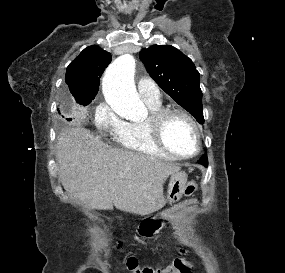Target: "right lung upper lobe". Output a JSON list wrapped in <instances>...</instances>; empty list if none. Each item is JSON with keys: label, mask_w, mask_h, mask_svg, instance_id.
<instances>
[{"label": "right lung upper lobe", "mask_w": 285, "mask_h": 273, "mask_svg": "<svg viewBox=\"0 0 285 273\" xmlns=\"http://www.w3.org/2000/svg\"><path fill=\"white\" fill-rule=\"evenodd\" d=\"M111 60L110 53L93 45L85 48L67 67L65 81L77 103L91 102L95 98L100 77Z\"/></svg>", "instance_id": "obj_1"}]
</instances>
